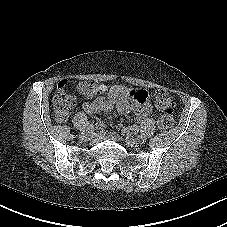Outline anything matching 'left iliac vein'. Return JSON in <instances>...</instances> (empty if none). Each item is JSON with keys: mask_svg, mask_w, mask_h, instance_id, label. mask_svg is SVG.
<instances>
[{"mask_svg": "<svg viewBox=\"0 0 227 227\" xmlns=\"http://www.w3.org/2000/svg\"><path fill=\"white\" fill-rule=\"evenodd\" d=\"M126 143L128 146L135 147V148H138L143 144L140 138H129V137L126 138Z\"/></svg>", "mask_w": 227, "mask_h": 227, "instance_id": "1", "label": "left iliac vein"}]
</instances>
